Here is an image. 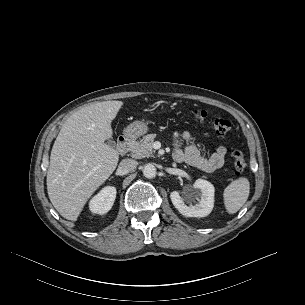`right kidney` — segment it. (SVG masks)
I'll use <instances>...</instances> for the list:
<instances>
[{
    "mask_svg": "<svg viewBox=\"0 0 305 305\" xmlns=\"http://www.w3.org/2000/svg\"><path fill=\"white\" fill-rule=\"evenodd\" d=\"M115 198L116 188L107 186L90 200L89 209L92 213L103 215L112 208Z\"/></svg>",
    "mask_w": 305,
    "mask_h": 305,
    "instance_id": "ca27d5eb",
    "label": "right kidney"
}]
</instances>
